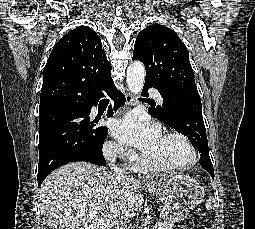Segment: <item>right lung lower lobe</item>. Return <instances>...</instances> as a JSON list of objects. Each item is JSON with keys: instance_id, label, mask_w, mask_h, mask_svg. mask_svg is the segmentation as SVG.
Masks as SVG:
<instances>
[{"instance_id": "obj_1", "label": "right lung lower lobe", "mask_w": 255, "mask_h": 229, "mask_svg": "<svg viewBox=\"0 0 255 229\" xmlns=\"http://www.w3.org/2000/svg\"><path fill=\"white\" fill-rule=\"evenodd\" d=\"M106 93L114 100V103H115L114 104V110H116L118 107H121L125 104V96L120 91H118L115 86L112 87L110 90L106 91ZM102 96H104V94ZM97 103H98V101L93 103V105L96 106ZM93 105H91L89 107H85V108H78L76 110L82 111V112L89 115ZM112 114H113L112 109L110 108V110L108 112V117H110ZM104 128L106 129L105 136H107L108 129L106 127H104ZM88 162H91V163H94V164H97V165H100V166H105L106 165V161H105L104 157H102L99 160H91V161H88ZM50 172L38 173V185L39 186L42 184V182L44 181V179L47 177V175Z\"/></svg>"}]
</instances>
